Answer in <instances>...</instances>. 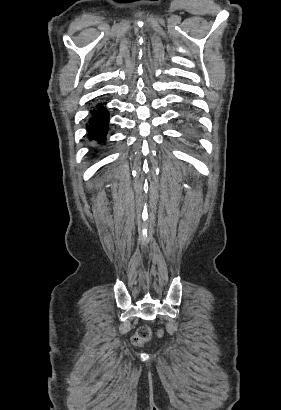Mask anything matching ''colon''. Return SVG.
<instances>
[{"mask_svg": "<svg viewBox=\"0 0 281 410\" xmlns=\"http://www.w3.org/2000/svg\"><path fill=\"white\" fill-rule=\"evenodd\" d=\"M161 335V331L158 332ZM153 336V331L148 326H141L137 329L135 334L132 336V343L135 346H141L147 341H149Z\"/></svg>", "mask_w": 281, "mask_h": 410, "instance_id": "5ec220e1", "label": "colon"}]
</instances>
